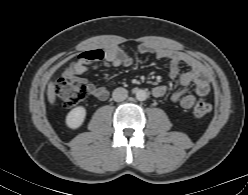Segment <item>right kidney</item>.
Wrapping results in <instances>:
<instances>
[{
	"instance_id": "obj_1",
	"label": "right kidney",
	"mask_w": 248,
	"mask_h": 195,
	"mask_svg": "<svg viewBox=\"0 0 248 195\" xmlns=\"http://www.w3.org/2000/svg\"><path fill=\"white\" fill-rule=\"evenodd\" d=\"M85 117L86 109L82 106L76 107L68 113L66 124L71 129H77L83 124Z\"/></svg>"
}]
</instances>
